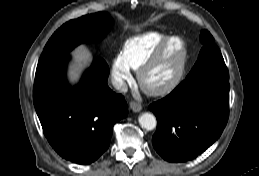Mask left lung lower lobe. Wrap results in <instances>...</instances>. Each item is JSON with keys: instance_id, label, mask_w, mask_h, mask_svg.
<instances>
[{"instance_id": "obj_1", "label": "left lung lower lobe", "mask_w": 259, "mask_h": 176, "mask_svg": "<svg viewBox=\"0 0 259 176\" xmlns=\"http://www.w3.org/2000/svg\"><path fill=\"white\" fill-rule=\"evenodd\" d=\"M149 109L157 118L153 146L169 162L196 158L222 134L229 116V75L185 79Z\"/></svg>"}]
</instances>
